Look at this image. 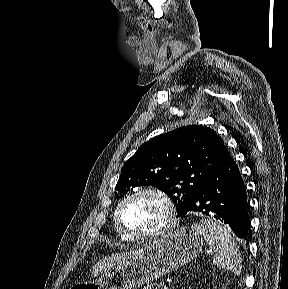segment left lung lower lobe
Here are the masks:
<instances>
[{
    "mask_svg": "<svg viewBox=\"0 0 288 289\" xmlns=\"http://www.w3.org/2000/svg\"><path fill=\"white\" fill-rule=\"evenodd\" d=\"M189 211L214 216L228 224L239 238L248 237L250 225L246 190L230 154L182 215Z\"/></svg>",
    "mask_w": 288,
    "mask_h": 289,
    "instance_id": "left-lung-lower-lobe-1",
    "label": "left lung lower lobe"
}]
</instances>
